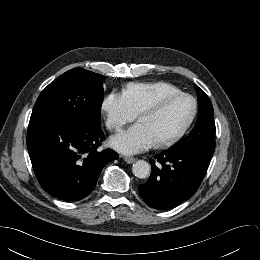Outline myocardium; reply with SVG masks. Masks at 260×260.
<instances>
[{"instance_id":"myocardium-1","label":"myocardium","mask_w":260,"mask_h":260,"mask_svg":"<svg viewBox=\"0 0 260 260\" xmlns=\"http://www.w3.org/2000/svg\"><path fill=\"white\" fill-rule=\"evenodd\" d=\"M176 97H186V98L190 99L193 104L192 112H191L188 120L184 124V126L177 133H175L174 135H172L164 140H161V141H158L155 143L156 147H158V148L170 146V145L174 144L175 142L179 141L187 133V131L190 129V127L194 123L197 113H198L197 99L194 96H192L191 94L186 93V92H182V91L171 92V93L161 96L156 101H154L151 105L145 107L137 114L138 120H140L141 118H143L145 116L152 115V114L156 113L168 100H170L172 98H176Z\"/></svg>"}]
</instances>
